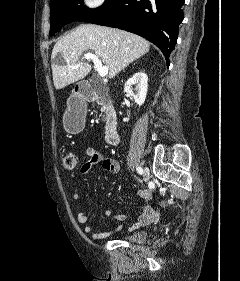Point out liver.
<instances>
[{
    "mask_svg": "<svg viewBox=\"0 0 240 281\" xmlns=\"http://www.w3.org/2000/svg\"><path fill=\"white\" fill-rule=\"evenodd\" d=\"M150 43L142 37L108 27L82 24L62 37L54 45L51 55L53 83L57 90L75 83L90 72L91 65L85 61L78 68L81 55L94 52L108 67L109 78H114L130 63L145 55ZM60 54L65 64L56 61Z\"/></svg>",
    "mask_w": 240,
    "mask_h": 281,
    "instance_id": "liver-1",
    "label": "liver"
}]
</instances>
